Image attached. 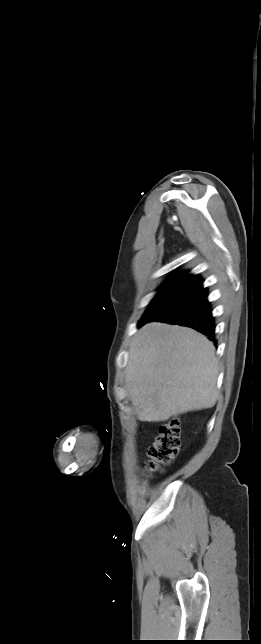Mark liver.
<instances>
[{"instance_id":"obj_1","label":"liver","mask_w":261,"mask_h":644,"mask_svg":"<svg viewBox=\"0 0 261 644\" xmlns=\"http://www.w3.org/2000/svg\"><path fill=\"white\" fill-rule=\"evenodd\" d=\"M217 377L213 343L190 328L151 322L130 344L126 387L140 421L213 407Z\"/></svg>"}]
</instances>
